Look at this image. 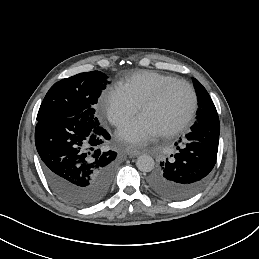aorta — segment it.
<instances>
[{"instance_id": "762f6f07", "label": "aorta", "mask_w": 259, "mask_h": 259, "mask_svg": "<svg viewBox=\"0 0 259 259\" xmlns=\"http://www.w3.org/2000/svg\"><path fill=\"white\" fill-rule=\"evenodd\" d=\"M136 166L142 172H150L154 168V159L150 155H140L136 160Z\"/></svg>"}]
</instances>
